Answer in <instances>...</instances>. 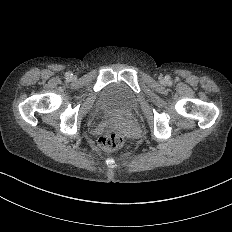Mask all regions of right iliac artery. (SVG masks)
I'll return each mask as SVG.
<instances>
[{
	"mask_svg": "<svg viewBox=\"0 0 232 232\" xmlns=\"http://www.w3.org/2000/svg\"><path fill=\"white\" fill-rule=\"evenodd\" d=\"M72 73L71 72H66L65 76L67 79H70L72 77Z\"/></svg>",
	"mask_w": 232,
	"mask_h": 232,
	"instance_id": "right-iliac-artery-1",
	"label": "right iliac artery"
}]
</instances>
